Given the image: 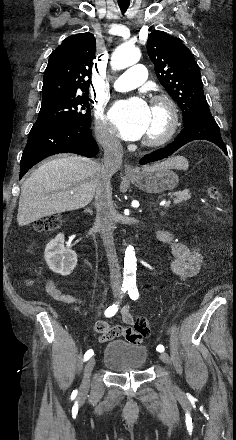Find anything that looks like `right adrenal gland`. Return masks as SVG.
Here are the masks:
<instances>
[{"label":"right adrenal gland","instance_id":"obj_1","mask_svg":"<svg viewBox=\"0 0 236 440\" xmlns=\"http://www.w3.org/2000/svg\"><path fill=\"white\" fill-rule=\"evenodd\" d=\"M86 212H89L90 214H92V210L91 209H86Z\"/></svg>","mask_w":236,"mask_h":440}]
</instances>
